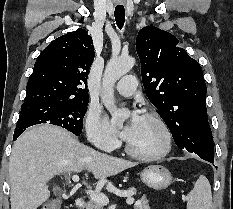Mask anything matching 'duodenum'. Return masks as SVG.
I'll list each match as a JSON object with an SVG mask.
<instances>
[{
  "label": "duodenum",
  "instance_id": "duodenum-1",
  "mask_svg": "<svg viewBox=\"0 0 233 209\" xmlns=\"http://www.w3.org/2000/svg\"><path fill=\"white\" fill-rule=\"evenodd\" d=\"M75 205L78 209H83L84 205H85V201L83 198L79 197L75 200Z\"/></svg>",
  "mask_w": 233,
  "mask_h": 209
}]
</instances>
